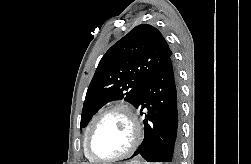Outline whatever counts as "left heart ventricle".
Returning <instances> with one entry per match:
<instances>
[{
	"label": "left heart ventricle",
	"instance_id": "b2bd125f",
	"mask_svg": "<svg viewBox=\"0 0 251 164\" xmlns=\"http://www.w3.org/2000/svg\"><path fill=\"white\" fill-rule=\"evenodd\" d=\"M133 137L132 125L121 111L106 115L98 124L91 141V151L99 158L123 153Z\"/></svg>",
	"mask_w": 251,
	"mask_h": 164
}]
</instances>
